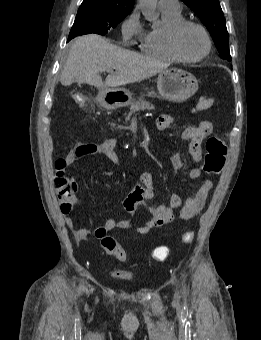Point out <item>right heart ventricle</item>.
I'll use <instances>...</instances> for the list:
<instances>
[{"label":"right heart ventricle","instance_id":"e07e8e85","mask_svg":"<svg viewBox=\"0 0 261 340\" xmlns=\"http://www.w3.org/2000/svg\"><path fill=\"white\" fill-rule=\"evenodd\" d=\"M162 11L163 24L160 28L142 31L139 36L140 49L146 55L164 61H178L168 46V31L179 20L181 12Z\"/></svg>","mask_w":261,"mask_h":340}]
</instances>
